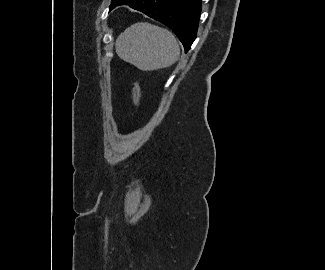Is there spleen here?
<instances>
[{
	"mask_svg": "<svg viewBox=\"0 0 325 270\" xmlns=\"http://www.w3.org/2000/svg\"><path fill=\"white\" fill-rule=\"evenodd\" d=\"M118 56L143 71L174 64L180 56L176 37L167 29L147 22L128 27L116 40Z\"/></svg>",
	"mask_w": 325,
	"mask_h": 270,
	"instance_id": "3e777b00",
	"label": "spleen"
}]
</instances>
